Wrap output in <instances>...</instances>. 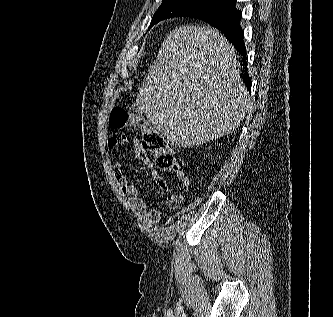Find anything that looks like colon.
<instances>
[{"instance_id": "colon-1", "label": "colon", "mask_w": 333, "mask_h": 317, "mask_svg": "<svg viewBox=\"0 0 333 317\" xmlns=\"http://www.w3.org/2000/svg\"><path fill=\"white\" fill-rule=\"evenodd\" d=\"M109 125L113 130L139 128L143 135V148L151 153L157 166L163 170L172 171L183 187L189 185L188 177L178 164L174 149L157 131L151 129L138 115L122 107H115L110 113Z\"/></svg>"}]
</instances>
